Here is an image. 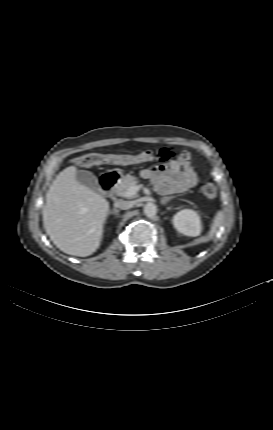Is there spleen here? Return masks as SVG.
<instances>
[{"label":"spleen","mask_w":273,"mask_h":430,"mask_svg":"<svg viewBox=\"0 0 273 430\" xmlns=\"http://www.w3.org/2000/svg\"><path fill=\"white\" fill-rule=\"evenodd\" d=\"M224 221V215L222 211H218L215 215V218L213 220L210 234H213L217 231V229L223 224Z\"/></svg>","instance_id":"spleen-1"}]
</instances>
